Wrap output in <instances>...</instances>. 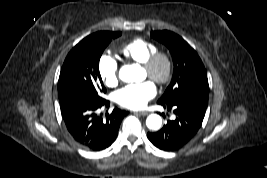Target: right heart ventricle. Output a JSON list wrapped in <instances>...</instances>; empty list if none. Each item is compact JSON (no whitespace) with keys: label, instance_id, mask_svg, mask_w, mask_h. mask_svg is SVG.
<instances>
[{"label":"right heart ventricle","instance_id":"1","mask_svg":"<svg viewBox=\"0 0 267 178\" xmlns=\"http://www.w3.org/2000/svg\"><path fill=\"white\" fill-rule=\"evenodd\" d=\"M156 50L157 47L153 42L143 38H135L122 47L121 53L126 58L142 64Z\"/></svg>","mask_w":267,"mask_h":178}]
</instances>
